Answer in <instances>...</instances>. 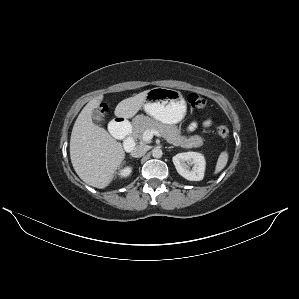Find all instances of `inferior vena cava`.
<instances>
[{"label": "inferior vena cava", "mask_w": 299, "mask_h": 299, "mask_svg": "<svg viewBox=\"0 0 299 299\" xmlns=\"http://www.w3.org/2000/svg\"><path fill=\"white\" fill-rule=\"evenodd\" d=\"M147 151H148L147 145H138L133 148V150L131 151V155L137 158L143 156Z\"/></svg>", "instance_id": "602c4592"}]
</instances>
